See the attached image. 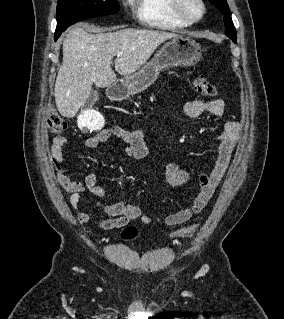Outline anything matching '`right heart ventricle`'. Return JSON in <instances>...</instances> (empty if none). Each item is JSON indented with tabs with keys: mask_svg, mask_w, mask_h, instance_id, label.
<instances>
[{
	"mask_svg": "<svg viewBox=\"0 0 284 319\" xmlns=\"http://www.w3.org/2000/svg\"><path fill=\"white\" fill-rule=\"evenodd\" d=\"M139 23L155 29H179L190 25L173 10L172 0H131Z\"/></svg>",
	"mask_w": 284,
	"mask_h": 319,
	"instance_id": "right-heart-ventricle-1",
	"label": "right heart ventricle"
}]
</instances>
